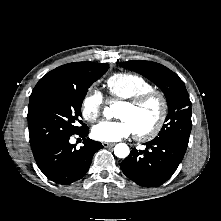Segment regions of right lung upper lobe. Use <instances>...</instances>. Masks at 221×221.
Wrapping results in <instances>:
<instances>
[{
  "label": "right lung upper lobe",
  "instance_id": "right-lung-upper-lobe-1",
  "mask_svg": "<svg viewBox=\"0 0 221 221\" xmlns=\"http://www.w3.org/2000/svg\"><path fill=\"white\" fill-rule=\"evenodd\" d=\"M77 63H69L62 65L42 77L33 89L30 101L34 100L40 93L46 90L48 87L56 85L71 79L77 74Z\"/></svg>",
  "mask_w": 221,
  "mask_h": 221
}]
</instances>
